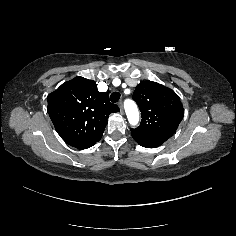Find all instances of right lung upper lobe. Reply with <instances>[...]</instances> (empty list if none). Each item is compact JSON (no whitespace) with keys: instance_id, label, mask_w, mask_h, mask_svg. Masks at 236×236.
I'll list each match as a JSON object with an SVG mask.
<instances>
[{"instance_id":"obj_1","label":"right lung upper lobe","mask_w":236,"mask_h":236,"mask_svg":"<svg viewBox=\"0 0 236 236\" xmlns=\"http://www.w3.org/2000/svg\"><path fill=\"white\" fill-rule=\"evenodd\" d=\"M48 113L60 137L70 146L87 149L98 142L110 113L119 112L107 92L83 77L63 83L48 95Z\"/></svg>"}]
</instances>
